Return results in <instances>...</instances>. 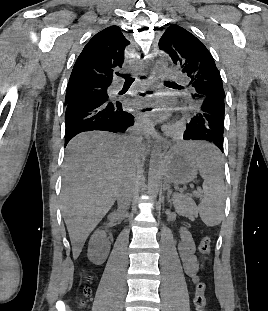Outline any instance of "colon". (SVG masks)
Here are the masks:
<instances>
[{"instance_id": "1", "label": "colon", "mask_w": 268, "mask_h": 311, "mask_svg": "<svg viewBox=\"0 0 268 311\" xmlns=\"http://www.w3.org/2000/svg\"><path fill=\"white\" fill-rule=\"evenodd\" d=\"M199 252L203 258H207V256L211 252V239L209 236H204L199 243ZM85 289V295L88 296L90 291L88 286ZM205 284L203 282L197 283L195 287V296H194V306L196 311H204L206 306V297H205Z\"/></svg>"}]
</instances>
